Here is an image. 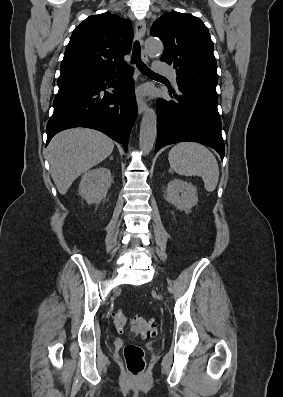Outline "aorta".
<instances>
[{
  "label": "aorta",
  "instance_id": "obj_1",
  "mask_svg": "<svg viewBox=\"0 0 283 397\" xmlns=\"http://www.w3.org/2000/svg\"><path fill=\"white\" fill-rule=\"evenodd\" d=\"M145 50L150 56L159 55L163 50V44L159 39L148 38L145 42ZM157 134V118L152 108H148L142 117L140 124L139 147L145 154L153 149Z\"/></svg>",
  "mask_w": 283,
  "mask_h": 397
}]
</instances>
